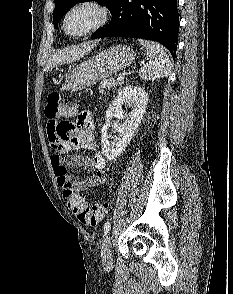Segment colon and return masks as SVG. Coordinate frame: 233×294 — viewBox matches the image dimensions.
Masks as SVG:
<instances>
[{
    "mask_svg": "<svg viewBox=\"0 0 233 294\" xmlns=\"http://www.w3.org/2000/svg\"><path fill=\"white\" fill-rule=\"evenodd\" d=\"M77 114V105L68 99H63L56 92L47 95L45 115L49 117H72ZM66 204L78 220L88 226H97L108 210V203L89 205L82 194L67 188L63 191Z\"/></svg>",
    "mask_w": 233,
    "mask_h": 294,
    "instance_id": "5ec220e1",
    "label": "colon"
}]
</instances>
